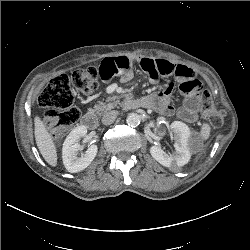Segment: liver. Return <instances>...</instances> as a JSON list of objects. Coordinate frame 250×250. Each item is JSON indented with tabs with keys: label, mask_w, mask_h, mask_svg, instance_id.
I'll use <instances>...</instances> for the list:
<instances>
[{
	"label": "liver",
	"mask_w": 250,
	"mask_h": 250,
	"mask_svg": "<svg viewBox=\"0 0 250 250\" xmlns=\"http://www.w3.org/2000/svg\"><path fill=\"white\" fill-rule=\"evenodd\" d=\"M34 125L35 140L41 155L49 165L56 166L57 150L51 134L39 116H35Z\"/></svg>",
	"instance_id": "1"
}]
</instances>
